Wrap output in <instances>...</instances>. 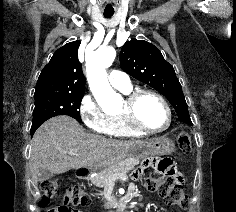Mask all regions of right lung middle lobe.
<instances>
[{"label":"right lung middle lobe","mask_w":236,"mask_h":212,"mask_svg":"<svg viewBox=\"0 0 236 212\" xmlns=\"http://www.w3.org/2000/svg\"><path fill=\"white\" fill-rule=\"evenodd\" d=\"M84 93L45 94L35 97L31 135L46 120L57 115H68L82 122L79 108Z\"/></svg>","instance_id":"1"}]
</instances>
